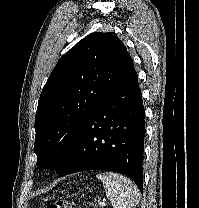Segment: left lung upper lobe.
<instances>
[{
    "label": "left lung upper lobe",
    "mask_w": 199,
    "mask_h": 208,
    "mask_svg": "<svg viewBox=\"0 0 199 208\" xmlns=\"http://www.w3.org/2000/svg\"><path fill=\"white\" fill-rule=\"evenodd\" d=\"M133 66L126 46L112 33H92L56 64L35 116L37 165L58 170L91 113Z\"/></svg>",
    "instance_id": "1"
}]
</instances>
